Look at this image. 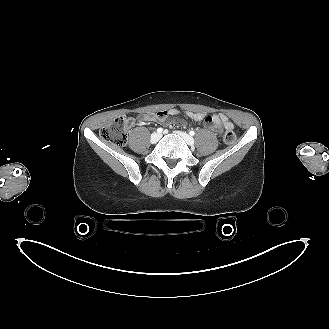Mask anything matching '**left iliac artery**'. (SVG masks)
<instances>
[{
	"label": "left iliac artery",
	"instance_id": "1",
	"mask_svg": "<svg viewBox=\"0 0 329 329\" xmlns=\"http://www.w3.org/2000/svg\"><path fill=\"white\" fill-rule=\"evenodd\" d=\"M189 134H190L191 136H194V135H195V132H194L193 130H191V131L189 132Z\"/></svg>",
	"mask_w": 329,
	"mask_h": 329
}]
</instances>
